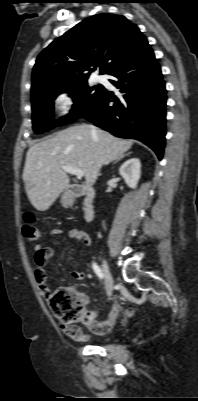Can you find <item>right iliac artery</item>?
<instances>
[{
    "label": "right iliac artery",
    "mask_w": 198,
    "mask_h": 401,
    "mask_svg": "<svg viewBox=\"0 0 198 401\" xmlns=\"http://www.w3.org/2000/svg\"><path fill=\"white\" fill-rule=\"evenodd\" d=\"M92 267H93V270H94L95 274H96L100 279H103V278H104V275H103L101 269L99 268V266H98L96 263H93Z\"/></svg>",
    "instance_id": "82829eb1"
}]
</instances>
